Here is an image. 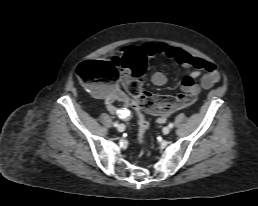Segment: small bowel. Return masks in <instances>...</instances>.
Returning a JSON list of instances; mask_svg holds the SVG:
<instances>
[{"instance_id":"c3829d8e","label":"small bowel","mask_w":258,"mask_h":206,"mask_svg":"<svg viewBox=\"0 0 258 206\" xmlns=\"http://www.w3.org/2000/svg\"><path fill=\"white\" fill-rule=\"evenodd\" d=\"M143 54L145 57L162 55L176 61L183 67L193 68V72L181 80V89L186 93L198 94L201 90L213 86L220 78L216 66L209 61L199 57H194L180 48L172 47L164 42H146L143 45H130L121 50L118 55L112 56L108 61L114 64H121L126 58L136 54ZM151 81L156 86H163L167 82V77L162 72H155ZM99 95L105 100L107 109L110 113L120 117L128 118L130 111L127 105L130 103L129 97L118 87H105L99 91ZM115 102L123 104L122 107L115 105ZM165 116H159V123L165 122Z\"/></svg>"}]
</instances>
